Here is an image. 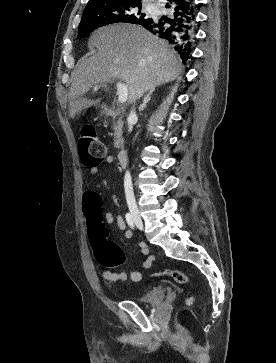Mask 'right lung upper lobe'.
I'll return each instance as SVG.
<instances>
[{
  "label": "right lung upper lobe",
  "mask_w": 276,
  "mask_h": 363,
  "mask_svg": "<svg viewBox=\"0 0 276 363\" xmlns=\"http://www.w3.org/2000/svg\"><path fill=\"white\" fill-rule=\"evenodd\" d=\"M106 1H114V0H89L87 6H90V5L95 4V3L106 2ZM120 1H129V2L141 3L142 0H120ZM144 22H149V21H148V19H145L141 24H143Z\"/></svg>",
  "instance_id": "obj_1"
}]
</instances>
